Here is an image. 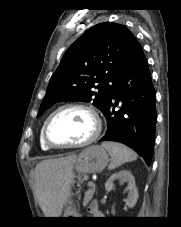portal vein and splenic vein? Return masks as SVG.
<instances>
[{
  "mask_svg": "<svg viewBox=\"0 0 181 227\" xmlns=\"http://www.w3.org/2000/svg\"><path fill=\"white\" fill-rule=\"evenodd\" d=\"M89 186H90V187H95V184H94L92 181H90V182H89Z\"/></svg>",
  "mask_w": 181,
  "mask_h": 227,
  "instance_id": "obj_1",
  "label": "portal vein and splenic vein"
}]
</instances>
